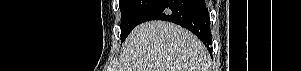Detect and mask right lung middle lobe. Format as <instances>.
I'll return each instance as SVG.
<instances>
[{
    "mask_svg": "<svg viewBox=\"0 0 301 71\" xmlns=\"http://www.w3.org/2000/svg\"><path fill=\"white\" fill-rule=\"evenodd\" d=\"M156 0H120L121 10V40L124 41L140 20L147 9Z\"/></svg>",
    "mask_w": 301,
    "mask_h": 71,
    "instance_id": "1",
    "label": "right lung middle lobe"
}]
</instances>
